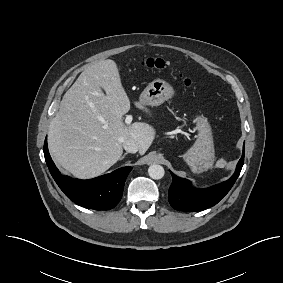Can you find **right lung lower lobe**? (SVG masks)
Masks as SVG:
<instances>
[{
    "mask_svg": "<svg viewBox=\"0 0 283 283\" xmlns=\"http://www.w3.org/2000/svg\"><path fill=\"white\" fill-rule=\"evenodd\" d=\"M44 156L52 177L63 193L76 204L90 209L108 210L115 207L122 197L125 180L132 170V167H123L91 180L63 176L50 157L47 138Z\"/></svg>",
    "mask_w": 283,
    "mask_h": 283,
    "instance_id": "98d812e1",
    "label": "right lung lower lobe"
}]
</instances>
